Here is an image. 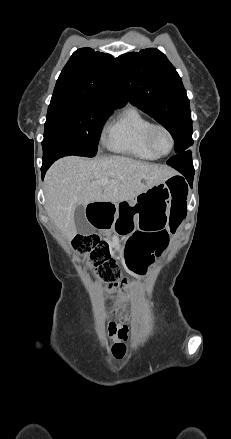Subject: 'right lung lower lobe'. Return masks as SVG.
<instances>
[{"instance_id": "98d812e1", "label": "right lung lower lobe", "mask_w": 231, "mask_h": 439, "mask_svg": "<svg viewBox=\"0 0 231 439\" xmlns=\"http://www.w3.org/2000/svg\"><path fill=\"white\" fill-rule=\"evenodd\" d=\"M56 159H50V160H45L43 161V165L41 167V172H42V179L44 178V175L47 171V169L51 166V164L55 161Z\"/></svg>"}]
</instances>
